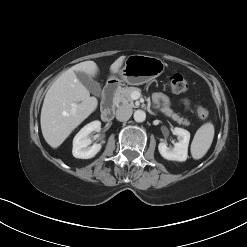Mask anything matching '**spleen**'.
I'll use <instances>...</instances> for the list:
<instances>
[{
	"instance_id": "3e777b00",
	"label": "spleen",
	"mask_w": 247,
	"mask_h": 247,
	"mask_svg": "<svg viewBox=\"0 0 247 247\" xmlns=\"http://www.w3.org/2000/svg\"><path fill=\"white\" fill-rule=\"evenodd\" d=\"M214 126L211 122L203 124L195 133L191 143V155L194 159H201L209 150L214 138Z\"/></svg>"
}]
</instances>
